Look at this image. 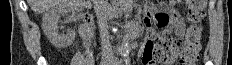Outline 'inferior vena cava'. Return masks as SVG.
<instances>
[{"label":"inferior vena cava","instance_id":"obj_1","mask_svg":"<svg viewBox=\"0 0 232 65\" xmlns=\"http://www.w3.org/2000/svg\"><path fill=\"white\" fill-rule=\"evenodd\" d=\"M94 9L98 18V24L100 28V35L102 40L103 47V56L107 61L113 59V54L111 52V44L109 41L108 35V25H107V17L109 13V4L108 0H93Z\"/></svg>","mask_w":232,"mask_h":65}]
</instances>
